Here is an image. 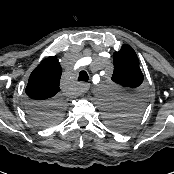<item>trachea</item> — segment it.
<instances>
[{
	"label": "trachea",
	"instance_id": "trachea-1",
	"mask_svg": "<svg viewBox=\"0 0 174 174\" xmlns=\"http://www.w3.org/2000/svg\"><path fill=\"white\" fill-rule=\"evenodd\" d=\"M88 80H89L88 73L84 70L80 71L78 76V81L88 82Z\"/></svg>",
	"mask_w": 174,
	"mask_h": 174
}]
</instances>
